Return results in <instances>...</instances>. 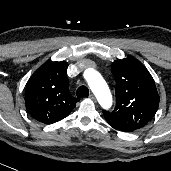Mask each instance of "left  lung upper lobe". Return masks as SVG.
<instances>
[{
    "mask_svg": "<svg viewBox=\"0 0 171 171\" xmlns=\"http://www.w3.org/2000/svg\"><path fill=\"white\" fill-rule=\"evenodd\" d=\"M111 71L116 81V105L112 111H103L106 121L119 131L144 127L160 101L152 76L134 57L114 61Z\"/></svg>",
    "mask_w": 171,
    "mask_h": 171,
    "instance_id": "obj_1",
    "label": "left lung upper lobe"
}]
</instances>
